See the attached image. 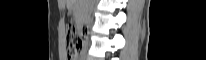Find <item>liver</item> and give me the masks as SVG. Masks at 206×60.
<instances>
[{
	"instance_id": "obj_1",
	"label": "liver",
	"mask_w": 206,
	"mask_h": 60,
	"mask_svg": "<svg viewBox=\"0 0 206 60\" xmlns=\"http://www.w3.org/2000/svg\"><path fill=\"white\" fill-rule=\"evenodd\" d=\"M69 1H72V2H74L75 0H67V2H69Z\"/></svg>"
}]
</instances>
